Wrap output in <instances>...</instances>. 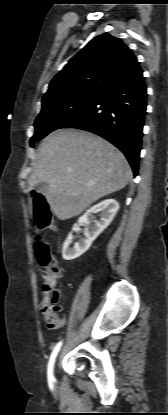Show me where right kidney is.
Here are the masks:
<instances>
[{
  "mask_svg": "<svg viewBox=\"0 0 168 415\" xmlns=\"http://www.w3.org/2000/svg\"><path fill=\"white\" fill-rule=\"evenodd\" d=\"M119 210V204L114 199L104 200L90 208L82 217L79 218L78 223L72 227L73 232H77L79 226L84 224H93L85 229L84 236L79 242H76L73 247L72 233H70L65 240L62 248V257L64 260H73L85 253L93 241L106 229L114 219L117 211ZM100 213V220L91 221L93 214Z\"/></svg>",
  "mask_w": 168,
  "mask_h": 415,
  "instance_id": "right-kidney-1",
  "label": "right kidney"
}]
</instances>
